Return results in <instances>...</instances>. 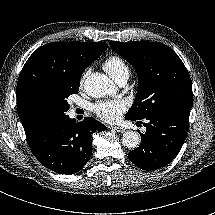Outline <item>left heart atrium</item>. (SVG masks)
I'll list each match as a JSON object with an SVG mask.
<instances>
[{"instance_id":"39dd6f15","label":"left heart atrium","mask_w":215,"mask_h":215,"mask_svg":"<svg viewBox=\"0 0 215 215\" xmlns=\"http://www.w3.org/2000/svg\"><path fill=\"white\" fill-rule=\"evenodd\" d=\"M127 103L123 99L104 100L94 104V114L106 122H115L127 110Z\"/></svg>"}]
</instances>
